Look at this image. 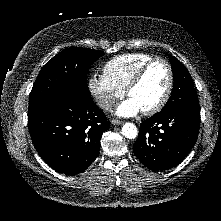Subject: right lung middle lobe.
<instances>
[{
	"mask_svg": "<svg viewBox=\"0 0 221 221\" xmlns=\"http://www.w3.org/2000/svg\"><path fill=\"white\" fill-rule=\"evenodd\" d=\"M103 55L104 52L94 49L70 47L50 59L33 85L28 114L60 93L73 92L90 96L87 73L90 66Z\"/></svg>",
	"mask_w": 221,
	"mask_h": 221,
	"instance_id": "obj_1",
	"label": "right lung middle lobe"
}]
</instances>
